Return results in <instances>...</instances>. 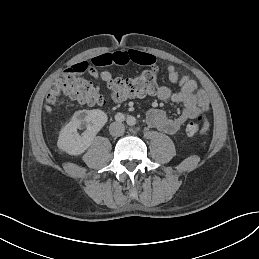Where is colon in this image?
Instances as JSON below:
<instances>
[{
  "instance_id": "1",
  "label": "colon",
  "mask_w": 259,
  "mask_h": 259,
  "mask_svg": "<svg viewBox=\"0 0 259 259\" xmlns=\"http://www.w3.org/2000/svg\"><path fill=\"white\" fill-rule=\"evenodd\" d=\"M103 92L91 81L66 72L58 77L47 96V108L52 110L62 104L66 98L88 105H105L107 101L122 102L131 97H143L157 90V71L151 67L129 78L110 79ZM204 128V118L185 124L184 131L192 136Z\"/></svg>"
}]
</instances>
